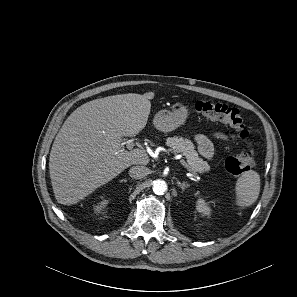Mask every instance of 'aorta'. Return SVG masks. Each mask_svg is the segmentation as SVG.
Instances as JSON below:
<instances>
[{
  "instance_id": "obj_1",
  "label": "aorta",
  "mask_w": 297,
  "mask_h": 297,
  "mask_svg": "<svg viewBox=\"0 0 297 297\" xmlns=\"http://www.w3.org/2000/svg\"><path fill=\"white\" fill-rule=\"evenodd\" d=\"M167 190V184L164 180H156L153 183V192L157 195H163Z\"/></svg>"
}]
</instances>
